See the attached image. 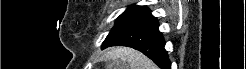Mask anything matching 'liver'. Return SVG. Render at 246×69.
<instances>
[{"label":"liver","mask_w":246,"mask_h":69,"mask_svg":"<svg viewBox=\"0 0 246 69\" xmlns=\"http://www.w3.org/2000/svg\"><path fill=\"white\" fill-rule=\"evenodd\" d=\"M105 57L115 62L117 69H158L149 58L129 47L112 48Z\"/></svg>","instance_id":"1"}]
</instances>
